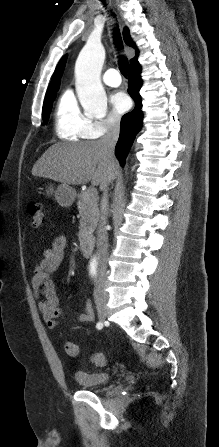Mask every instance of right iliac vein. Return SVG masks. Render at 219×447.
<instances>
[{
	"label": "right iliac vein",
	"instance_id": "63e3f726",
	"mask_svg": "<svg viewBox=\"0 0 219 447\" xmlns=\"http://www.w3.org/2000/svg\"><path fill=\"white\" fill-rule=\"evenodd\" d=\"M106 315H107V309H106V307L105 306H99L98 307V316H99V319L101 320V321H104L105 320V318H106Z\"/></svg>",
	"mask_w": 219,
	"mask_h": 447
}]
</instances>
